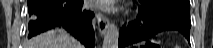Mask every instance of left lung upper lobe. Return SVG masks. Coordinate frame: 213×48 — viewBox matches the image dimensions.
<instances>
[{
    "label": "left lung upper lobe",
    "instance_id": "left-lung-upper-lobe-1",
    "mask_svg": "<svg viewBox=\"0 0 213 48\" xmlns=\"http://www.w3.org/2000/svg\"><path fill=\"white\" fill-rule=\"evenodd\" d=\"M170 1H174V2L180 3V4L184 5V6L190 7L189 0H170Z\"/></svg>",
    "mask_w": 213,
    "mask_h": 48
}]
</instances>
